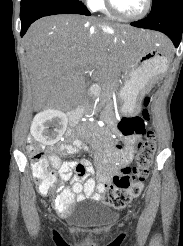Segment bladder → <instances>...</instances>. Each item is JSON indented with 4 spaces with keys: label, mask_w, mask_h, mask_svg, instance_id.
<instances>
[{
    "label": "bladder",
    "mask_w": 183,
    "mask_h": 246,
    "mask_svg": "<svg viewBox=\"0 0 183 246\" xmlns=\"http://www.w3.org/2000/svg\"><path fill=\"white\" fill-rule=\"evenodd\" d=\"M113 216V211L106 205H95L74 215L76 225L82 227L101 226Z\"/></svg>",
    "instance_id": "1"
}]
</instances>
